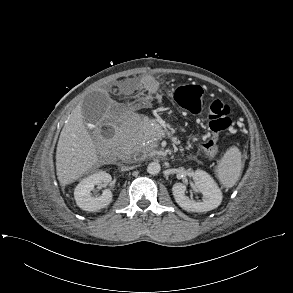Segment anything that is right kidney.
<instances>
[{
  "label": "right kidney",
  "instance_id": "obj_1",
  "mask_svg": "<svg viewBox=\"0 0 293 293\" xmlns=\"http://www.w3.org/2000/svg\"><path fill=\"white\" fill-rule=\"evenodd\" d=\"M112 180L110 174L105 171L94 173L83 179L75 188L74 198L78 207L82 210L95 212L112 202V193L109 189H105L102 195L93 197L91 191L95 185H108Z\"/></svg>",
  "mask_w": 293,
  "mask_h": 293
}]
</instances>
